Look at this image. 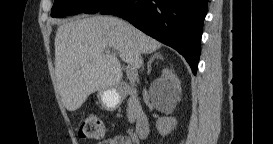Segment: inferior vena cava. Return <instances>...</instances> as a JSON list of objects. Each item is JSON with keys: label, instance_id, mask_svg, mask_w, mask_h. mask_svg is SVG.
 <instances>
[{"label": "inferior vena cava", "instance_id": "1", "mask_svg": "<svg viewBox=\"0 0 273 144\" xmlns=\"http://www.w3.org/2000/svg\"><path fill=\"white\" fill-rule=\"evenodd\" d=\"M139 62H140V65L143 66V59L141 56H140Z\"/></svg>", "mask_w": 273, "mask_h": 144}]
</instances>
